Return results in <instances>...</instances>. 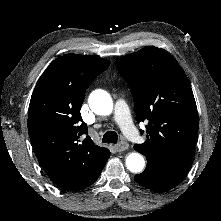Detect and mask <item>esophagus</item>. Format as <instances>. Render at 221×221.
I'll return each mask as SVG.
<instances>
[{
  "instance_id": "1",
  "label": "esophagus",
  "mask_w": 221,
  "mask_h": 221,
  "mask_svg": "<svg viewBox=\"0 0 221 221\" xmlns=\"http://www.w3.org/2000/svg\"><path fill=\"white\" fill-rule=\"evenodd\" d=\"M117 152L125 151L128 148V143L125 141H121L119 144L115 146Z\"/></svg>"
}]
</instances>
